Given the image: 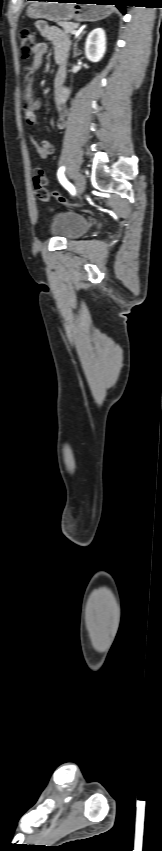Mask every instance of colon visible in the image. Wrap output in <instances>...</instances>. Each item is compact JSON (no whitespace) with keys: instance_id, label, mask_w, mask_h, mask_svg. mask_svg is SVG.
<instances>
[{"instance_id":"1","label":"colon","mask_w":162,"mask_h":851,"mask_svg":"<svg viewBox=\"0 0 162 851\" xmlns=\"http://www.w3.org/2000/svg\"><path fill=\"white\" fill-rule=\"evenodd\" d=\"M19 40L20 53L22 58L24 60L30 59L31 56L34 54L35 47L37 45L35 33L30 29H23L20 32ZM32 180L36 195L40 200L47 202L51 197H53L61 204H71V201L65 196H63L59 191L48 189V181L45 172L42 169L37 168L34 170Z\"/></svg>"}]
</instances>
